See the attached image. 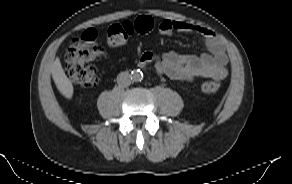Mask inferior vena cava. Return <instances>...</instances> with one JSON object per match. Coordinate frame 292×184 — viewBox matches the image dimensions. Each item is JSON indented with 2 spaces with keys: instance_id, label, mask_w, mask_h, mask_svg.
<instances>
[{
  "instance_id": "1",
  "label": "inferior vena cava",
  "mask_w": 292,
  "mask_h": 184,
  "mask_svg": "<svg viewBox=\"0 0 292 184\" xmlns=\"http://www.w3.org/2000/svg\"><path fill=\"white\" fill-rule=\"evenodd\" d=\"M131 82H132L131 75L127 71L121 72L117 76V83L120 87H127L131 84Z\"/></svg>"
}]
</instances>
